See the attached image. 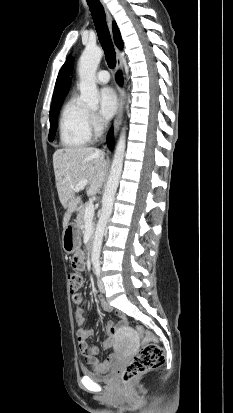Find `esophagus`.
Masks as SVG:
<instances>
[{"label":"esophagus","mask_w":233,"mask_h":413,"mask_svg":"<svg viewBox=\"0 0 233 413\" xmlns=\"http://www.w3.org/2000/svg\"><path fill=\"white\" fill-rule=\"evenodd\" d=\"M100 2L102 4V6L104 8V11H105V14H106V20H107L108 28H109L110 32H112V16H111L104 0H100ZM116 53H117L116 73L118 74L122 70V61L120 59L119 50L117 48H116ZM117 91H118V108H117V114H116V118H115L114 125H113L114 134L117 133V131H118L120 125H121V122H122L124 98H125L124 90L120 85H117ZM107 152H109V151L107 150Z\"/></svg>","instance_id":"esophagus-1"}]
</instances>
